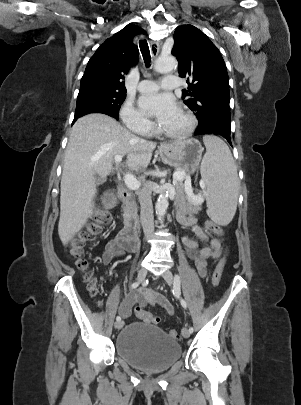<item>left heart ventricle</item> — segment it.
Segmentation results:
<instances>
[{
	"instance_id": "left-heart-ventricle-1",
	"label": "left heart ventricle",
	"mask_w": 301,
	"mask_h": 405,
	"mask_svg": "<svg viewBox=\"0 0 301 405\" xmlns=\"http://www.w3.org/2000/svg\"><path fill=\"white\" fill-rule=\"evenodd\" d=\"M187 126V120L186 118L180 113L167 123L161 125V128H163L166 131L170 132H179L185 129Z\"/></svg>"
}]
</instances>
